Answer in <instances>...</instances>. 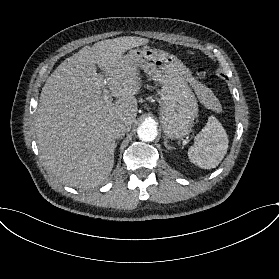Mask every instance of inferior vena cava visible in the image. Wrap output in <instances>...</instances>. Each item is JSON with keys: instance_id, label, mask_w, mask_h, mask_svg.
Masks as SVG:
<instances>
[{"instance_id": "1", "label": "inferior vena cava", "mask_w": 279, "mask_h": 279, "mask_svg": "<svg viewBox=\"0 0 279 279\" xmlns=\"http://www.w3.org/2000/svg\"><path fill=\"white\" fill-rule=\"evenodd\" d=\"M129 130L124 124H117L112 128L111 133L114 139H119L123 137L126 132Z\"/></svg>"}]
</instances>
